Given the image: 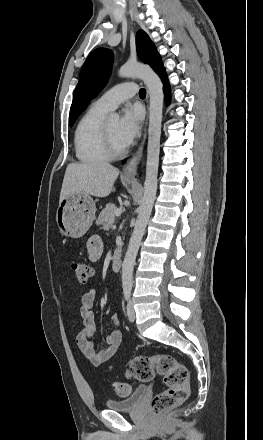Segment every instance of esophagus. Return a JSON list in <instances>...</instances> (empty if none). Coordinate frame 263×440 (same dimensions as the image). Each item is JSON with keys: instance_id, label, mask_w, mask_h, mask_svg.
I'll return each mask as SVG.
<instances>
[{"instance_id": "obj_1", "label": "esophagus", "mask_w": 263, "mask_h": 440, "mask_svg": "<svg viewBox=\"0 0 263 440\" xmlns=\"http://www.w3.org/2000/svg\"><path fill=\"white\" fill-rule=\"evenodd\" d=\"M145 140H146V128L144 130L143 138H142V141H141L139 147L137 148L135 153L128 159L127 163L123 167V170L121 173V176L123 178L130 179V180L135 179L137 166H138V164L141 160L142 154H143Z\"/></svg>"}]
</instances>
